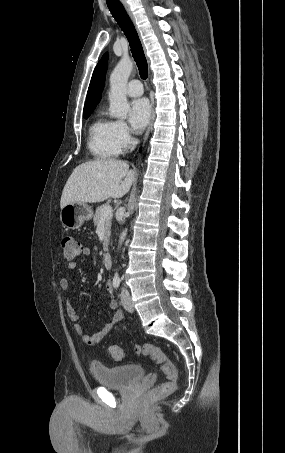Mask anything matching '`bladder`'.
<instances>
[{
  "instance_id": "1",
  "label": "bladder",
  "mask_w": 285,
  "mask_h": 453,
  "mask_svg": "<svg viewBox=\"0 0 285 453\" xmlns=\"http://www.w3.org/2000/svg\"><path fill=\"white\" fill-rule=\"evenodd\" d=\"M90 372L98 384L119 389L128 388L145 376V369L139 364L109 367L92 362Z\"/></svg>"
}]
</instances>
